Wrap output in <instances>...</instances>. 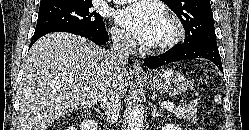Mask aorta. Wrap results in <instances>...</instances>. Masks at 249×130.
Masks as SVG:
<instances>
[{"label":"aorta","mask_w":249,"mask_h":130,"mask_svg":"<svg viewBox=\"0 0 249 130\" xmlns=\"http://www.w3.org/2000/svg\"><path fill=\"white\" fill-rule=\"evenodd\" d=\"M144 115L140 104L134 105L128 121V130H143Z\"/></svg>","instance_id":"1"}]
</instances>
